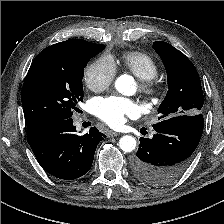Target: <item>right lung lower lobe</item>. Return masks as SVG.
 <instances>
[{"mask_svg":"<svg viewBox=\"0 0 224 224\" xmlns=\"http://www.w3.org/2000/svg\"><path fill=\"white\" fill-rule=\"evenodd\" d=\"M105 137L96 127L78 135L72 118H46L27 126V141L36 159L45 171L63 180L89 171L96 147Z\"/></svg>","mask_w":224,"mask_h":224,"instance_id":"right-lung-lower-lobe-1","label":"right lung lower lobe"}]
</instances>
